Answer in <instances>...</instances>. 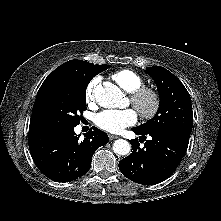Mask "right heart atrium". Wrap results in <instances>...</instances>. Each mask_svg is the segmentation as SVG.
Masks as SVG:
<instances>
[{
  "label": "right heart atrium",
  "instance_id": "right-heart-atrium-1",
  "mask_svg": "<svg viewBox=\"0 0 221 221\" xmlns=\"http://www.w3.org/2000/svg\"><path fill=\"white\" fill-rule=\"evenodd\" d=\"M100 79L98 77L93 78L87 84L85 89V100L88 104L93 103L96 100V90Z\"/></svg>",
  "mask_w": 221,
  "mask_h": 221
}]
</instances>
